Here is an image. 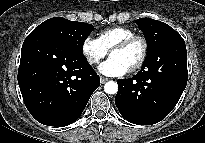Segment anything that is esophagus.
<instances>
[{"mask_svg": "<svg viewBox=\"0 0 205 143\" xmlns=\"http://www.w3.org/2000/svg\"><path fill=\"white\" fill-rule=\"evenodd\" d=\"M108 81V78H105V77H100V82L102 83V84H104L105 82H107Z\"/></svg>", "mask_w": 205, "mask_h": 143, "instance_id": "1", "label": "esophagus"}]
</instances>
